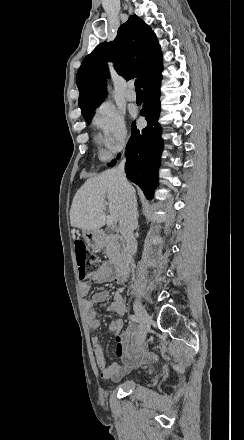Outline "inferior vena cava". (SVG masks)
I'll list each match as a JSON object with an SVG mask.
<instances>
[{
	"mask_svg": "<svg viewBox=\"0 0 244 440\" xmlns=\"http://www.w3.org/2000/svg\"><path fill=\"white\" fill-rule=\"evenodd\" d=\"M125 158L122 160L121 164H119L116 174L117 178L124 188L123 192V208L121 210L120 218H119V230L120 234H122L123 238L126 240L127 250L131 256H134L137 252V242L136 238L133 234L134 230H136L138 226L137 222V202L135 198V190L132 188L131 184H129L128 180H126L124 168H125Z\"/></svg>",
	"mask_w": 244,
	"mask_h": 440,
	"instance_id": "obj_1",
	"label": "inferior vena cava"
}]
</instances>
